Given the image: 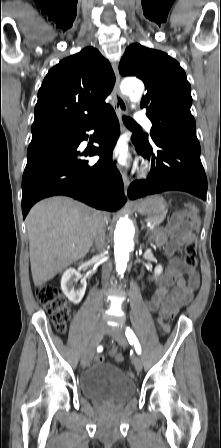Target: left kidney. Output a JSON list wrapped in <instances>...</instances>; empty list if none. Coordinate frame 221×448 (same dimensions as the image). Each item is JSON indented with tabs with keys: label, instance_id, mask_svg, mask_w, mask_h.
Segmentation results:
<instances>
[{
	"label": "left kidney",
	"instance_id": "1",
	"mask_svg": "<svg viewBox=\"0 0 221 448\" xmlns=\"http://www.w3.org/2000/svg\"><path fill=\"white\" fill-rule=\"evenodd\" d=\"M162 271H163L162 266H161V265H158V266L155 268V270H154V274H155V276H159V275H161Z\"/></svg>",
	"mask_w": 221,
	"mask_h": 448
}]
</instances>
